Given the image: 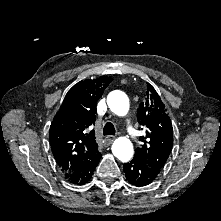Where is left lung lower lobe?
<instances>
[{"label": "left lung lower lobe", "instance_id": "left-lung-lower-lobe-1", "mask_svg": "<svg viewBox=\"0 0 221 221\" xmlns=\"http://www.w3.org/2000/svg\"><path fill=\"white\" fill-rule=\"evenodd\" d=\"M124 172L127 180L135 186H146L151 184L159 175L146 163L133 158L129 163L124 164Z\"/></svg>", "mask_w": 221, "mask_h": 221}]
</instances>
